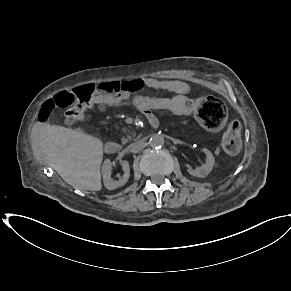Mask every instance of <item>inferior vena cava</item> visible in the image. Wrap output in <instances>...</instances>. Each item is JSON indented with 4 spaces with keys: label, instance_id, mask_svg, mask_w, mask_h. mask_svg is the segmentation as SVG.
I'll return each mask as SVG.
<instances>
[{
    "label": "inferior vena cava",
    "instance_id": "602c4592",
    "mask_svg": "<svg viewBox=\"0 0 291 291\" xmlns=\"http://www.w3.org/2000/svg\"><path fill=\"white\" fill-rule=\"evenodd\" d=\"M143 144H144L143 140H138V141L130 144L128 146V148L131 149V150L139 149Z\"/></svg>",
    "mask_w": 291,
    "mask_h": 291
}]
</instances>
